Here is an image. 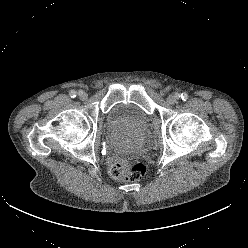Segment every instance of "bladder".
<instances>
[{"label":"bladder","instance_id":"obj_1","mask_svg":"<svg viewBox=\"0 0 248 248\" xmlns=\"http://www.w3.org/2000/svg\"><path fill=\"white\" fill-rule=\"evenodd\" d=\"M149 118L130 104H117L107 115L106 129L110 144L120 150L144 149L149 144Z\"/></svg>","mask_w":248,"mask_h":248}]
</instances>
